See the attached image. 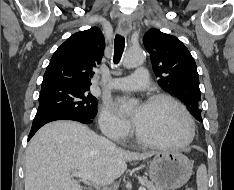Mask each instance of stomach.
<instances>
[{"instance_id":"0dacf381","label":"stomach","mask_w":234,"mask_h":190,"mask_svg":"<svg viewBox=\"0 0 234 190\" xmlns=\"http://www.w3.org/2000/svg\"><path fill=\"white\" fill-rule=\"evenodd\" d=\"M191 161L174 151L159 152L149 166V178L163 190H175L185 185L192 175Z\"/></svg>"}]
</instances>
